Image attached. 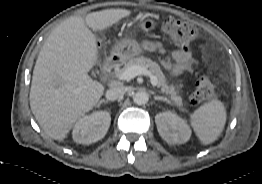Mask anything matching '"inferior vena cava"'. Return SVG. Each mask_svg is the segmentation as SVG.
Segmentation results:
<instances>
[{
  "mask_svg": "<svg viewBox=\"0 0 262 184\" xmlns=\"http://www.w3.org/2000/svg\"><path fill=\"white\" fill-rule=\"evenodd\" d=\"M126 93V88L123 86L113 87L107 90L106 99L114 101L119 97H122Z\"/></svg>",
  "mask_w": 262,
  "mask_h": 184,
  "instance_id": "inferior-vena-cava-1",
  "label": "inferior vena cava"
}]
</instances>
